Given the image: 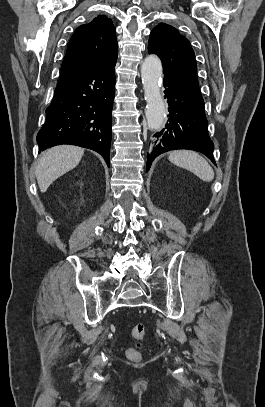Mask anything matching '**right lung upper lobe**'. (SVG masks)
<instances>
[{
	"label": "right lung upper lobe",
	"instance_id": "1",
	"mask_svg": "<svg viewBox=\"0 0 265 407\" xmlns=\"http://www.w3.org/2000/svg\"><path fill=\"white\" fill-rule=\"evenodd\" d=\"M117 57L116 29L104 15L79 26L70 39L58 84L73 80Z\"/></svg>",
	"mask_w": 265,
	"mask_h": 407
}]
</instances>
